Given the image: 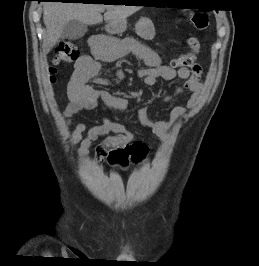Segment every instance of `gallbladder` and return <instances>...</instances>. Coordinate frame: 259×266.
<instances>
[{"label":"gallbladder","instance_id":"gallbladder-1","mask_svg":"<svg viewBox=\"0 0 259 266\" xmlns=\"http://www.w3.org/2000/svg\"><path fill=\"white\" fill-rule=\"evenodd\" d=\"M86 32V24L77 20H71L64 25L61 37L75 40L83 37Z\"/></svg>","mask_w":259,"mask_h":266}]
</instances>
